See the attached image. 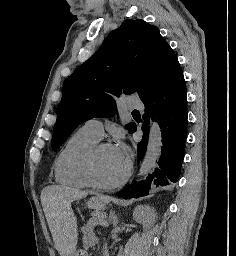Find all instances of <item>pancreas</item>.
Returning a JSON list of instances; mask_svg holds the SVG:
<instances>
[{
    "instance_id": "pancreas-1",
    "label": "pancreas",
    "mask_w": 236,
    "mask_h": 256,
    "mask_svg": "<svg viewBox=\"0 0 236 256\" xmlns=\"http://www.w3.org/2000/svg\"><path fill=\"white\" fill-rule=\"evenodd\" d=\"M94 226H97V223H94ZM92 224H85L82 228L84 238L81 239V242L84 244L85 248L93 247V243L97 242V239L94 238V232L92 231Z\"/></svg>"
}]
</instances>
